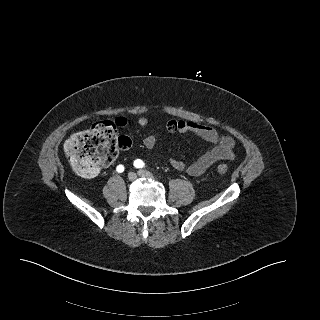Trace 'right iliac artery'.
Returning <instances> with one entry per match:
<instances>
[{
    "instance_id": "obj_1",
    "label": "right iliac artery",
    "mask_w": 320,
    "mask_h": 320,
    "mask_svg": "<svg viewBox=\"0 0 320 320\" xmlns=\"http://www.w3.org/2000/svg\"><path fill=\"white\" fill-rule=\"evenodd\" d=\"M116 170L119 172V173H122L124 171V166L123 165H118L116 167Z\"/></svg>"
}]
</instances>
